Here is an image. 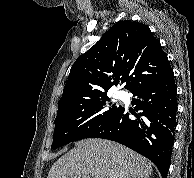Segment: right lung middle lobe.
Masks as SVG:
<instances>
[{
	"instance_id": "right-lung-middle-lobe-1",
	"label": "right lung middle lobe",
	"mask_w": 194,
	"mask_h": 178,
	"mask_svg": "<svg viewBox=\"0 0 194 178\" xmlns=\"http://www.w3.org/2000/svg\"><path fill=\"white\" fill-rule=\"evenodd\" d=\"M121 108L111 103L107 95H103L58 111L51 149L88 137Z\"/></svg>"
}]
</instances>
